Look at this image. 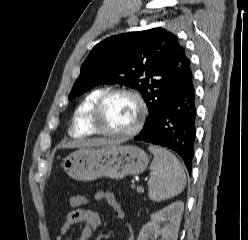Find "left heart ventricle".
Listing matches in <instances>:
<instances>
[{"instance_id":"1","label":"left heart ventricle","mask_w":248,"mask_h":240,"mask_svg":"<svg viewBox=\"0 0 248 240\" xmlns=\"http://www.w3.org/2000/svg\"><path fill=\"white\" fill-rule=\"evenodd\" d=\"M138 114V105L133 98L115 95L104 105L100 125L105 130L126 132L135 125Z\"/></svg>"}]
</instances>
